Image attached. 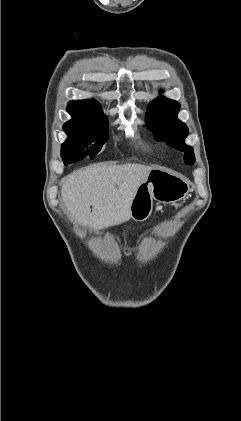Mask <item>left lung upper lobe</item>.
Returning <instances> with one entry per match:
<instances>
[{
    "instance_id": "obj_1",
    "label": "left lung upper lobe",
    "mask_w": 241,
    "mask_h": 421,
    "mask_svg": "<svg viewBox=\"0 0 241 421\" xmlns=\"http://www.w3.org/2000/svg\"><path fill=\"white\" fill-rule=\"evenodd\" d=\"M180 104L174 100L158 97L149 104L146 123L154 132V138L165 141L177 150L185 152L186 164H194L195 157L192 147L185 144L188 135L187 126L177 118Z\"/></svg>"
}]
</instances>
